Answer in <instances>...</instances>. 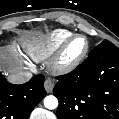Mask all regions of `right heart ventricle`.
Wrapping results in <instances>:
<instances>
[{
  "mask_svg": "<svg viewBox=\"0 0 119 119\" xmlns=\"http://www.w3.org/2000/svg\"><path fill=\"white\" fill-rule=\"evenodd\" d=\"M72 33L66 29H55L50 33L25 44L28 55L36 61L48 59Z\"/></svg>",
  "mask_w": 119,
  "mask_h": 119,
  "instance_id": "obj_1",
  "label": "right heart ventricle"
}]
</instances>
